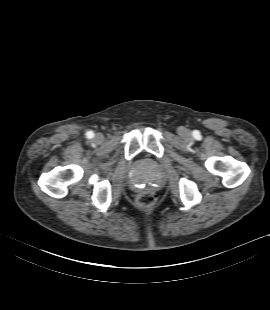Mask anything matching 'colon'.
Masks as SVG:
<instances>
[{
    "mask_svg": "<svg viewBox=\"0 0 270 310\" xmlns=\"http://www.w3.org/2000/svg\"><path fill=\"white\" fill-rule=\"evenodd\" d=\"M154 201L155 194L150 190L142 192L136 198V203L139 207H149L154 203Z\"/></svg>",
    "mask_w": 270,
    "mask_h": 310,
    "instance_id": "1",
    "label": "colon"
}]
</instances>
